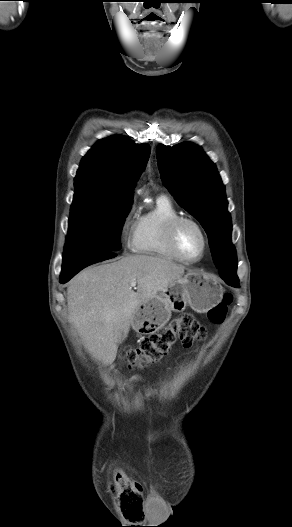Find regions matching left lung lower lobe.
I'll return each mask as SVG.
<instances>
[{"mask_svg": "<svg viewBox=\"0 0 292 527\" xmlns=\"http://www.w3.org/2000/svg\"><path fill=\"white\" fill-rule=\"evenodd\" d=\"M220 276L228 285L232 287H239V279L237 274L220 272Z\"/></svg>", "mask_w": 292, "mask_h": 527, "instance_id": "obj_1", "label": "left lung lower lobe"}]
</instances>
